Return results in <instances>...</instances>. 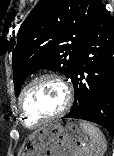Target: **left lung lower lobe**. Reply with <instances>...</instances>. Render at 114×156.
Here are the masks:
<instances>
[{
    "mask_svg": "<svg viewBox=\"0 0 114 156\" xmlns=\"http://www.w3.org/2000/svg\"><path fill=\"white\" fill-rule=\"evenodd\" d=\"M71 81L75 100L64 118L97 123L114 133V20L100 2L80 46Z\"/></svg>",
    "mask_w": 114,
    "mask_h": 156,
    "instance_id": "0a47b994",
    "label": "left lung lower lobe"
}]
</instances>
